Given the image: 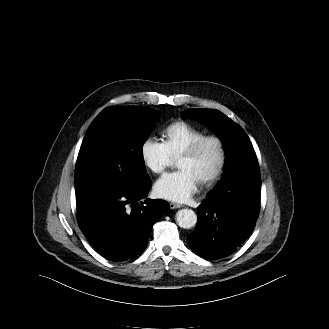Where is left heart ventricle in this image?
Segmentation results:
<instances>
[{"mask_svg":"<svg viewBox=\"0 0 329 329\" xmlns=\"http://www.w3.org/2000/svg\"><path fill=\"white\" fill-rule=\"evenodd\" d=\"M218 160V149L215 143H206L193 157H181L177 160L179 169L189 170L198 181L211 173Z\"/></svg>","mask_w":329,"mask_h":329,"instance_id":"b2bd125f","label":"left heart ventricle"}]
</instances>
